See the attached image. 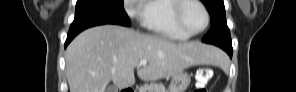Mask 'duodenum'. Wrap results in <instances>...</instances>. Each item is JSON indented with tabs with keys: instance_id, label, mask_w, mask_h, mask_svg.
<instances>
[{
	"instance_id": "1",
	"label": "duodenum",
	"mask_w": 296,
	"mask_h": 92,
	"mask_svg": "<svg viewBox=\"0 0 296 92\" xmlns=\"http://www.w3.org/2000/svg\"><path fill=\"white\" fill-rule=\"evenodd\" d=\"M136 90L133 87H128L122 90V92H135Z\"/></svg>"
}]
</instances>
